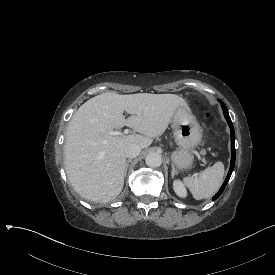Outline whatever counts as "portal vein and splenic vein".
<instances>
[{"label":"portal vein and splenic vein","instance_id":"obj_1","mask_svg":"<svg viewBox=\"0 0 275 275\" xmlns=\"http://www.w3.org/2000/svg\"><path fill=\"white\" fill-rule=\"evenodd\" d=\"M128 134H129V130L128 129H125L124 132H120V131L112 132V135H114V136H118L119 135V136L124 137V136H126ZM201 159H202L203 163H206L205 157H201ZM198 174H200V173H198Z\"/></svg>","mask_w":275,"mask_h":275}]
</instances>
